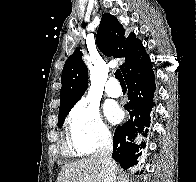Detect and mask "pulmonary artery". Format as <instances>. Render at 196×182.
Returning a JSON list of instances; mask_svg holds the SVG:
<instances>
[{
    "instance_id": "pulmonary-artery-1",
    "label": "pulmonary artery",
    "mask_w": 196,
    "mask_h": 182,
    "mask_svg": "<svg viewBox=\"0 0 196 182\" xmlns=\"http://www.w3.org/2000/svg\"><path fill=\"white\" fill-rule=\"evenodd\" d=\"M105 92L108 96L117 98L121 95L122 90L116 78L111 77L105 85Z\"/></svg>"
}]
</instances>
